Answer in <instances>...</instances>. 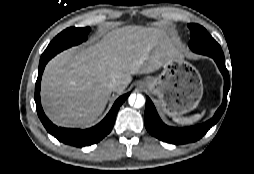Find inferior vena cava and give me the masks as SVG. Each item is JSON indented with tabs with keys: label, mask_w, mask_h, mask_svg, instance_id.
I'll return each mask as SVG.
<instances>
[{
	"label": "inferior vena cava",
	"mask_w": 254,
	"mask_h": 174,
	"mask_svg": "<svg viewBox=\"0 0 254 174\" xmlns=\"http://www.w3.org/2000/svg\"><path fill=\"white\" fill-rule=\"evenodd\" d=\"M109 85L111 89L115 90L119 86V81L113 78Z\"/></svg>",
	"instance_id": "inferior-vena-cava-1"
}]
</instances>
